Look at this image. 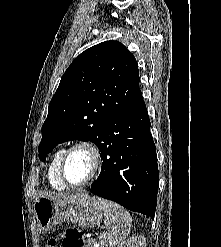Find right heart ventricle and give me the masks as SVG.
<instances>
[{
  "label": "right heart ventricle",
  "mask_w": 221,
  "mask_h": 247,
  "mask_svg": "<svg viewBox=\"0 0 221 247\" xmlns=\"http://www.w3.org/2000/svg\"><path fill=\"white\" fill-rule=\"evenodd\" d=\"M65 151L66 147L64 146L58 148L53 153L48 167V181L56 190H65L67 188L59 175L60 164Z\"/></svg>",
  "instance_id": "right-heart-ventricle-1"
}]
</instances>
